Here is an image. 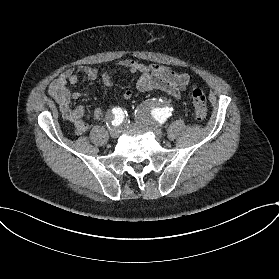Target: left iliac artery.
Here are the masks:
<instances>
[{
	"label": "left iliac artery",
	"mask_w": 279,
	"mask_h": 279,
	"mask_svg": "<svg viewBox=\"0 0 279 279\" xmlns=\"http://www.w3.org/2000/svg\"><path fill=\"white\" fill-rule=\"evenodd\" d=\"M172 109H156L154 118L161 124H164L169 116H171Z\"/></svg>",
	"instance_id": "obj_1"
}]
</instances>
